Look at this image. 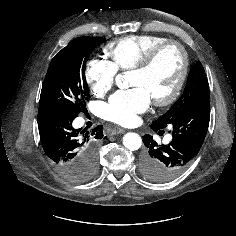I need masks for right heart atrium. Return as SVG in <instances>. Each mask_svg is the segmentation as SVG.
<instances>
[{"label": "right heart atrium", "instance_id": "1", "mask_svg": "<svg viewBox=\"0 0 236 236\" xmlns=\"http://www.w3.org/2000/svg\"><path fill=\"white\" fill-rule=\"evenodd\" d=\"M117 69L103 58L92 57L85 64L84 77L95 96H104L114 85Z\"/></svg>", "mask_w": 236, "mask_h": 236}]
</instances>
